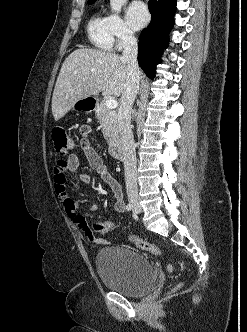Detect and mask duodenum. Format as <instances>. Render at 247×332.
Here are the masks:
<instances>
[{
  "label": "duodenum",
  "mask_w": 247,
  "mask_h": 332,
  "mask_svg": "<svg viewBox=\"0 0 247 332\" xmlns=\"http://www.w3.org/2000/svg\"><path fill=\"white\" fill-rule=\"evenodd\" d=\"M110 153L111 155L116 159H123L124 158V148L121 143L116 142L111 145L110 147Z\"/></svg>",
  "instance_id": "obj_1"
}]
</instances>
